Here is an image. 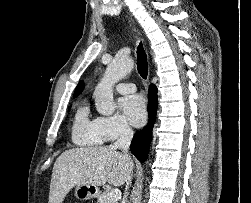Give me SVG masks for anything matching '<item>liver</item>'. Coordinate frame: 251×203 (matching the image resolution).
Segmentation results:
<instances>
[{"label": "liver", "instance_id": "liver-1", "mask_svg": "<svg viewBox=\"0 0 251 203\" xmlns=\"http://www.w3.org/2000/svg\"><path fill=\"white\" fill-rule=\"evenodd\" d=\"M132 169L131 158L111 146L66 150L53 166L49 203H62L68 192L80 184L97 187L108 182L122 186Z\"/></svg>", "mask_w": 251, "mask_h": 203}]
</instances>
